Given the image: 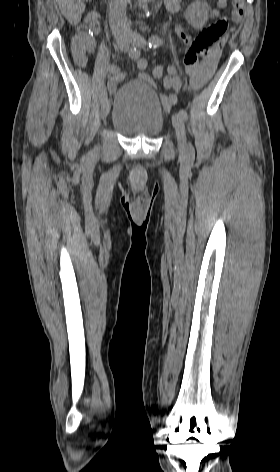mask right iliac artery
<instances>
[{
	"mask_svg": "<svg viewBox=\"0 0 280 472\" xmlns=\"http://www.w3.org/2000/svg\"><path fill=\"white\" fill-rule=\"evenodd\" d=\"M128 54H129V57H131L132 59L136 60L140 57V51L136 48H131L129 51H128ZM107 71L109 72L110 75H116L120 72V69L116 66V65H110L108 66L107 68ZM107 97V90L106 88L104 87L103 90H102V94H101V99L102 101Z\"/></svg>",
	"mask_w": 280,
	"mask_h": 472,
	"instance_id": "right-iliac-artery-1",
	"label": "right iliac artery"
}]
</instances>
